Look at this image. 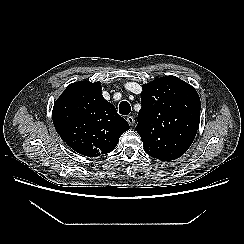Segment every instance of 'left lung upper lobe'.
Wrapping results in <instances>:
<instances>
[{
	"label": "left lung upper lobe",
	"instance_id": "left-lung-upper-lobe-1",
	"mask_svg": "<svg viewBox=\"0 0 244 244\" xmlns=\"http://www.w3.org/2000/svg\"><path fill=\"white\" fill-rule=\"evenodd\" d=\"M135 130L144 151L161 161L181 157L192 144L200 120V98L193 86L175 76L144 84Z\"/></svg>",
	"mask_w": 244,
	"mask_h": 244
}]
</instances>
